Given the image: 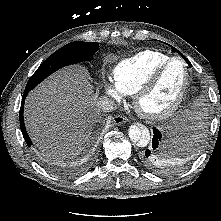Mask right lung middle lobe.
Returning <instances> with one entry per match:
<instances>
[{"instance_id": "1", "label": "right lung middle lobe", "mask_w": 221, "mask_h": 221, "mask_svg": "<svg viewBox=\"0 0 221 221\" xmlns=\"http://www.w3.org/2000/svg\"><path fill=\"white\" fill-rule=\"evenodd\" d=\"M98 48V42L81 41L71 42L61 47L39 66L29 79L25 92L32 90L42 80L63 66L90 60Z\"/></svg>"}]
</instances>
